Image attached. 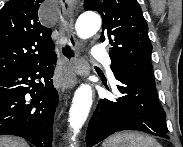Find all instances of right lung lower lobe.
Segmentation results:
<instances>
[{"label":"right lung lower lobe","instance_id":"obj_1","mask_svg":"<svg viewBox=\"0 0 183 147\" xmlns=\"http://www.w3.org/2000/svg\"><path fill=\"white\" fill-rule=\"evenodd\" d=\"M56 59L54 55L0 77V135L20 136L36 147H52L53 119L59 100L51 80Z\"/></svg>","mask_w":183,"mask_h":147}]
</instances>
